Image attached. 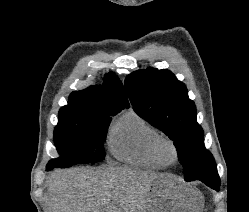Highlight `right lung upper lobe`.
I'll return each instance as SVG.
<instances>
[{"label": "right lung upper lobe", "instance_id": "cb5924a9", "mask_svg": "<svg viewBox=\"0 0 249 212\" xmlns=\"http://www.w3.org/2000/svg\"><path fill=\"white\" fill-rule=\"evenodd\" d=\"M69 104L113 110H122L129 107L123 85L113 73L104 77L102 86H90L85 90L73 92L69 96Z\"/></svg>", "mask_w": 249, "mask_h": 212}]
</instances>
